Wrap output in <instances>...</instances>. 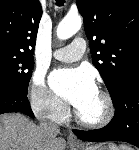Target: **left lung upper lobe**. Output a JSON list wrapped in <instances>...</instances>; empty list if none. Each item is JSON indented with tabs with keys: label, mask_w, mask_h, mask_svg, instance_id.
I'll return each mask as SVG.
<instances>
[{
	"label": "left lung upper lobe",
	"mask_w": 139,
	"mask_h": 150,
	"mask_svg": "<svg viewBox=\"0 0 139 150\" xmlns=\"http://www.w3.org/2000/svg\"><path fill=\"white\" fill-rule=\"evenodd\" d=\"M94 66L111 98L139 73V0H77Z\"/></svg>",
	"instance_id": "1"
}]
</instances>
